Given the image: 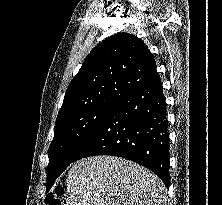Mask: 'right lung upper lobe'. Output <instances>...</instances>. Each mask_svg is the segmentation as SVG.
<instances>
[{"label": "right lung upper lobe", "mask_w": 222, "mask_h": 205, "mask_svg": "<svg viewBox=\"0 0 222 205\" xmlns=\"http://www.w3.org/2000/svg\"><path fill=\"white\" fill-rule=\"evenodd\" d=\"M159 77L153 55L134 35L118 33L95 46L70 82L56 122L105 102H119Z\"/></svg>", "instance_id": "right-lung-upper-lobe-1"}]
</instances>
